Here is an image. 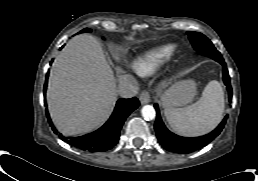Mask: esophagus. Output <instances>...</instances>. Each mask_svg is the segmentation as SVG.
Listing matches in <instances>:
<instances>
[{
    "label": "esophagus",
    "mask_w": 258,
    "mask_h": 181,
    "mask_svg": "<svg viewBox=\"0 0 258 181\" xmlns=\"http://www.w3.org/2000/svg\"><path fill=\"white\" fill-rule=\"evenodd\" d=\"M139 100L142 105L149 103L150 102L149 92L147 90L142 91L139 96Z\"/></svg>",
    "instance_id": "obj_1"
}]
</instances>
